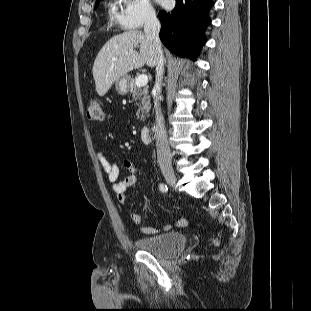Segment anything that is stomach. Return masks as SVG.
Instances as JSON below:
<instances>
[{
    "label": "stomach",
    "instance_id": "obj_1",
    "mask_svg": "<svg viewBox=\"0 0 311 311\" xmlns=\"http://www.w3.org/2000/svg\"><path fill=\"white\" fill-rule=\"evenodd\" d=\"M129 83H130V77L125 75L123 77H120L119 79H117L115 81V88L116 91L120 94V95H125L128 93L129 91Z\"/></svg>",
    "mask_w": 311,
    "mask_h": 311
}]
</instances>
